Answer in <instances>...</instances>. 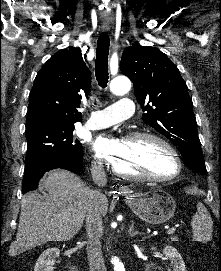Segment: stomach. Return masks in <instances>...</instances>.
<instances>
[{
  "label": "stomach",
  "mask_w": 221,
  "mask_h": 271,
  "mask_svg": "<svg viewBox=\"0 0 221 271\" xmlns=\"http://www.w3.org/2000/svg\"><path fill=\"white\" fill-rule=\"evenodd\" d=\"M126 201L135 215L147 223H163L174 215L175 201L167 191L155 185L143 193H126Z\"/></svg>",
  "instance_id": "stomach-1"
}]
</instances>
